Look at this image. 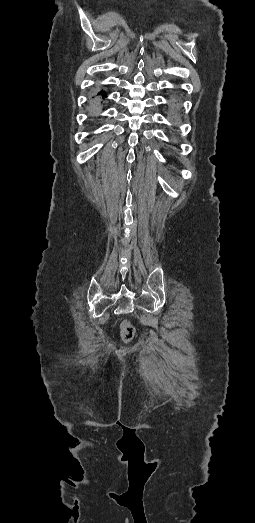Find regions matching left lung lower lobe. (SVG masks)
I'll use <instances>...</instances> for the list:
<instances>
[{"label": "left lung lower lobe", "mask_w": 255, "mask_h": 523, "mask_svg": "<svg viewBox=\"0 0 255 523\" xmlns=\"http://www.w3.org/2000/svg\"><path fill=\"white\" fill-rule=\"evenodd\" d=\"M167 85H170V82H167ZM176 85H179V82H176ZM167 103H172V100H167ZM174 103H178L180 106H185L187 104V99L185 97H180L178 100H174ZM165 160H169V157H165Z\"/></svg>", "instance_id": "obj_1"}]
</instances>
